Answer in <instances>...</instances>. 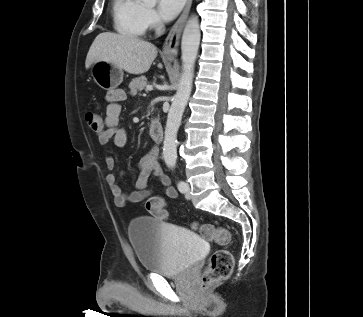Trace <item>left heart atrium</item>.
<instances>
[{
  "label": "left heart atrium",
  "mask_w": 363,
  "mask_h": 317,
  "mask_svg": "<svg viewBox=\"0 0 363 317\" xmlns=\"http://www.w3.org/2000/svg\"><path fill=\"white\" fill-rule=\"evenodd\" d=\"M185 0H159L158 11L162 18L171 20L180 12Z\"/></svg>",
  "instance_id": "left-heart-atrium-1"
}]
</instances>
